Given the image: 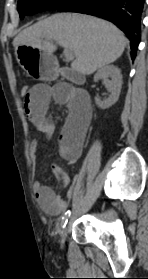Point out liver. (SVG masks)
<instances>
[{
	"label": "liver",
	"mask_w": 148,
	"mask_h": 279,
	"mask_svg": "<svg viewBox=\"0 0 148 279\" xmlns=\"http://www.w3.org/2000/svg\"><path fill=\"white\" fill-rule=\"evenodd\" d=\"M57 44L73 51V71L90 75L116 61L127 40L112 23L78 13L54 14L24 29L13 40L16 49L20 46L37 48L51 57Z\"/></svg>",
	"instance_id": "6515ba94"
}]
</instances>
